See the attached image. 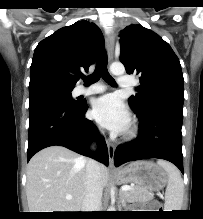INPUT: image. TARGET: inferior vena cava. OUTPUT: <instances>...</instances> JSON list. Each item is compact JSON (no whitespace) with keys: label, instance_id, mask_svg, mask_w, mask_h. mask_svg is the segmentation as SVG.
<instances>
[{"label":"inferior vena cava","instance_id":"obj_1","mask_svg":"<svg viewBox=\"0 0 203 219\" xmlns=\"http://www.w3.org/2000/svg\"><path fill=\"white\" fill-rule=\"evenodd\" d=\"M102 187L99 182V164L89 159L86 164V194L82 204V212L100 211Z\"/></svg>","mask_w":203,"mask_h":219}]
</instances>
